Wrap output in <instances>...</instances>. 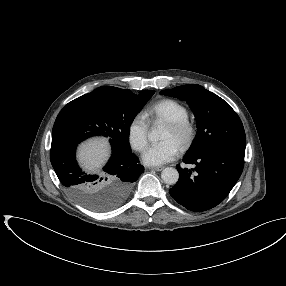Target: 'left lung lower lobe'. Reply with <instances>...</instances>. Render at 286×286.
<instances>
[{
  "label": "left lung lower lobe",
  "mask_w": 286,
  "mask_h": 286,
  "mask_svg": "<svg viewBox=\"0 0 286 286\" xmlns=\"http://www.w3.org/2000/svg\"><path fill=\"white\" fill-rule=\"evenodd\" d=\"M245 151L218 147L198 154L185 155L183 161L195 168L177 165L178 182L170 195L185 208L202 212L221 203L238 181L244 166ZM195 171V174H192Z\"/></svg>",
  "instance_id": "1"
}]
</instances>
